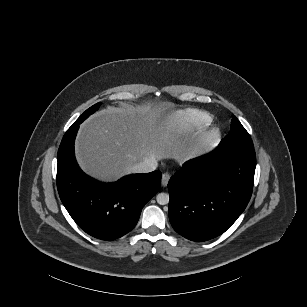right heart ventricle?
Returning a JSON list of instances; mask_svg holds the SVG:
<instances>
[{"label": "right heart ventricle", "instance_id": "1", "mask_svg": "<svg viewBox=\"0 0 307 307\" xmlns=\"http://www.w3.org/2000/svg\"><path fill=\"white\" fill-rule=\"evenodd\" d=\"M204 114L206 115V117H207V119H208V122H209V124L212 122V116L211 115H209L208 113H205L204 112Z\"/></svg>", "mask_w": 307, "mask_h": 307}]
</instances>
